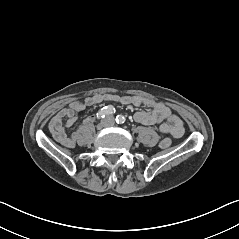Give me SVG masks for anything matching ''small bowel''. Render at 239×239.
I'll use <instances>...</instances> for the list:
<instances>
[{
  "mask_svg": "<svg viewBox=\"0 0 239 239\" xmlns=\"http://www.w3.org/2000/svg\"><path fill=\"white\" fill-rule=\"evenodd\" d=\"M102 102H119L135 107H149L150 111H138L134 115L136 122L151 126L159 124V131L171 134L175 138H180L184 134L182 120L164 103L140 96H120L117 94H94L84 101L72 102L68 107L59 111L51 120L49 129L56 141L66 147H74L76 144V134L68 136L65 127L72 125L78 114L85 108ZM89 120H86L88 122Z\"/></svg>",
  "mask_w": 239,
  "mask_h": 239,
  "instance_id": "c3829d8e",
  "label": "small bowel"
}]
</instances>
